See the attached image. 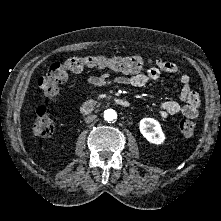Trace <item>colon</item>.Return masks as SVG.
Segmentation results:
<instances>
[{"mask_svg":"<svg viewBox=\"0 0 221 221\" xmlns=\"http://www.w3.org/2000/svg\"><path fill=\"white\" fill-rule=\"evenodd\" d=\"M151 61L147 62L139 56H86L71 57L64 61H57L50 65L46 76L39 81L43 95L55 99L59 94V85L64 82L68 73H80L84 67L110 68L123 73H138L149 68ZM180 132L184 136H191L196 128L195 122L190 119H181L178 123ZM54 130L52 113L46 106L37 109V117L33 124V133L39 137H49Z\"/></svg>","mask_w":221,"mask_h":221,"instance_id":"colon-1","label":"colon"}]
</instances>
